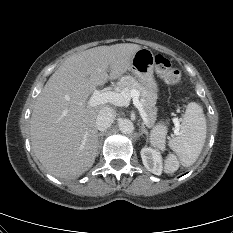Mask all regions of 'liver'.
I'll list each match as a JSON object with an SVG mask.
<instances>
[{"mask_svg": "<svg viewBox=\"0 0 233 233\" xmlns=\"http://www.w3.org/2000/svg\"><path fill=\"white\" fill-rule=\"evenodd\" d=\"M141 48L131 43L91 48L68 57L49 78L30 120L33 151L49 173L72 179L93 166L99 145L96 118L112 106L91 107L87 100L97 86L130 70Z\"/></svg>", "mask_w": 233, "mask_h": 233, "instance_id": "liver-1", "label": "liver"}]
</instances>
